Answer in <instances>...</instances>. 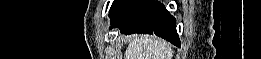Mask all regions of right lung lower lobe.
<instances>
[{
  "mask_svg": "<svg viewBox=\"0 0 261 59\" xmlns=\"http://www.w3.org/2000/svg\"><path fill=\"white\" fill-rule=\"evenodd\" d=\"M111 27L118 28L121 33L155 34L176 46L180 40L176 31L175 19L164 5L155 0H124L110 13Z\"/></svg>",
  "mask_w": 261,
  "mask_h": 59,
  "instance_id": "98d812e1",
  "label": "right lung lower lobe"
}]
</instances>
